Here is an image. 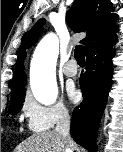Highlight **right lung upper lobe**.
I'll list each match as a JSON object with an SVG mask.
<instances>
[{
	"instance_id": "cb5924a9",
	"label": "right lung upper lobe",
	"mask_w": 123,
	"mask_h": 152,
	"mask_svg": "<svg viewBox=\"0 0 123 152\" xmlns=\"http://www.w3.org/2000/svg\"><path fill=\"white\" fill-rule=\"evenodd\" d=\"M110 0H75L67 13L68 25L74 32H86L81 43L86 46V54L110 39L117 28L115 20L117 15L112 13ZM44 19H40L26 35L15 67V74L11 84V94L25 89L26 75L23 72V61L26 49L34 45L43 33Z\"/></svg>"
}]
</instances>
